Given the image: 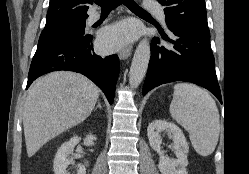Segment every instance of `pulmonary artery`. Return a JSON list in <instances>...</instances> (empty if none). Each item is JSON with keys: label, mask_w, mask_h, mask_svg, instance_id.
Masks as SVG:
<instances>
[{"label": "pulmonary artery", "mask_w": 249, "mask_h": 174, "mask_svg": "<svg viewBox=\"0 0 249 174\" xmlns=\"http://www.w3.org/2000/svg\"><path fill=\"white\" fill-rule=\"evenodd\" d=\"M145 8L147 12L155 14L163 24H166V15L162 6L152 0H145ZM100 18V13L95 12L89 15L88 23H94Z\"/></svg>", "instance_id": "1"}]
</instances>
